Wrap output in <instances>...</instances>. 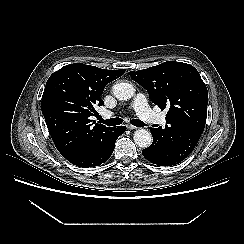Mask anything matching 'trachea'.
<instances>
[{
	"mask_svg": "<svg viewBox=\"0 0 244 244\" xmlns=\"http://www.w3.org/2000/svg\"><path fill=\"white\" fill-rule=\"evenodd\" d=\"M98 120L101 123L106 124L107 126H115V125H120L121 123H123V119L118 118V117L104 120L101 116H98ZM130 123L137 127L145 126L144 122H142L141 120H138V119H132L130 121Z\"/></svg>",
	"mask_w": 244,
	"mask_h": 244,
	"instance_id": "3493384b",
	"label": "trachea"
}]
</instances>
